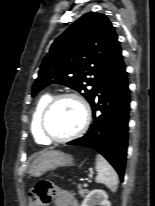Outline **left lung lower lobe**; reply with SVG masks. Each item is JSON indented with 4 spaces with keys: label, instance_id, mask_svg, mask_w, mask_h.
<instances>
[{
    "label": "left lung lower lobe",
    "instance_id": "1",
    "mask_svg": "<svg viewBox=\"0 0 155 206\" xmlns=\"http://www.w3.org/2000/svg\"><path fill=\"white\" fill-rule=\"evenodd\" d=\"M90 104L93 121L88 132L67 144L98 151L123 181L128 145L130 90L122 55L103 78Z\"/></svg>",
    "mask_w": 155,
    "mask_h": 206
}]
</instances>
